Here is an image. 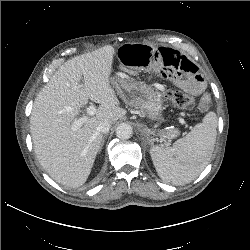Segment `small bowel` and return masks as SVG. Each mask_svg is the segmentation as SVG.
<instances>
[{
    "instance_id": "c3829d8e",
    "label": "small bowel",
    "mask_w": 250,
    "mask_h": 250,
    "mask_svg": "<svg viewBox=\"0 0 250 250\" xmlns=\"http://www.w3.org/2000/svg\"><path fill=\"white\" fill-rule=\"evenodd\" d=\"M117 58L127 75H155L195 95L204 89L205 82L196 65L173 49L126 44L118 49Z\"/></svg>"
}]
</instances>
